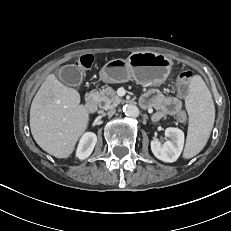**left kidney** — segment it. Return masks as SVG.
I'll use <instances>...</instances> for the list:
<instances>
[{
    "instance_id": "5707ae66",
    "label": "left kidney",
    "mask_w": 231,
    "mask_h": 231,
    "mask_svg": "<svg viewBox=\"0 0 231 231\" xmlns=\"http://www.w3.org/2000/svg\"><path fill=\"white\" fill-rule=\"evenodd\" d=\"M165 136L170 140H167L164 144L160 141H151V151L154 156L163 161L172 163L175 162L182 153L184 146V132L175 127H168L165 129Z\"/></svg>"
}]
</instances>
